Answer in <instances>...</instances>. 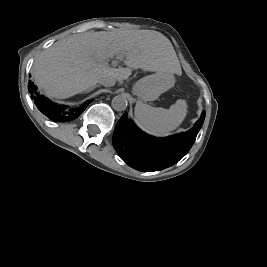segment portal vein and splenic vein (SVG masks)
<instances>
[{"mask_svg": "<svg viewBox=\"0 0 267 267\" xmlns=\"http://www.w3.org/2000/svg\"><path fill=\"white\" fill-rule=\"evenodd\" d=\"M116 59H117V60H122V59H123V56L120 54V55H118V56L116 57ZM117 63H118V62H117L116 60H113V61H112V65H113V66H116Z\"/></svg>", "mask_w": 267, "mask_h": 267, "instance_id": "1", "label": "portal vein and splenic vein"}]
</instances>
